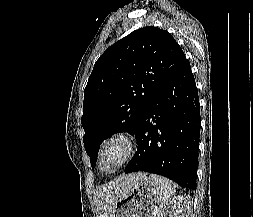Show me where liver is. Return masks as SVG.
<instances>
[{
  "instance_id": "liver-1",
  "label": "liver",
  "mask_w": 253,
  "mask_h": 217,
  "mask_svg": "<svg viewBox=\"0 0 253 217\" xmlns=\"http://www.w3.org/2000/svg\"><path fill=\"white\" fill-rule=\"evenodd\" d=\"M144 173L121 175L105 184L95 193L96 217H112L116 202L122 198Z\"/></svg>"
}]
</instances>
